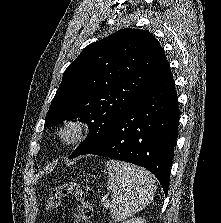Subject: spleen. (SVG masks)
<instances>
[{"mask_svg":"<svg viewBox=\"0 0 221 223\" xmlns=\"http://www.w3.org/2000/svg\"><path fill=\"white\" fill-rule=\"evenodd\" d=\"M106 167L109 175L107 189L112 194V219L125 220L153 200L155 179L147 170L118 160L107 161Z\"/></svg>","mask_w":221,"mask_h":223,"instance_id":"obj_1","label":"spleen"}]
</instances>
